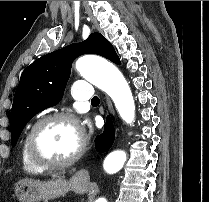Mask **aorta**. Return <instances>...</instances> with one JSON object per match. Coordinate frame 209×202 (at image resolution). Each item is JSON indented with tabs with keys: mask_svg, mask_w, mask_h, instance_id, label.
Here are the masks:
<instances>
[{
	"mask_svg": "<svg viewBox=\"0 0 209 202\" xmlns=\"http://www.w3.org/2000/svg\"><path fill=\"white\" fill-rule=\"evenodd\" d=\"M76 70L89 82L103 90L113 100L120 117L131 124L135 118V103L130 87L119 71L112 63L92 56L80 57L75 64ZM126 161V153L115 150L109 153L103 163L107 173H116ZM96 202H107L99 198Z\"/></svg>",
	"mask_w": 209,
	"mask_h": 202,
	"instance_id": "762f6f07",
	"label": "aorta"
}]
</instances>
